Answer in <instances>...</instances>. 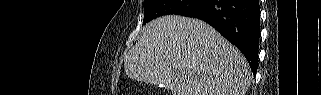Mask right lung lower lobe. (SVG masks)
<instances>
[{"mask_svg": "<svg viewBox=\"0 0 321 95\" xmlns=\"http://www.w3.org/2000/svg\"><path fill=\"white\" fill-rule=\"evenodd\" d=\"M204 20L245 55L253 74L257 71L260 36L258 0H207L186 16Z\"/></svg>", "mask_w": 321, "mask_h": 95, "instance_id": "1", "label": "right lung lower lobe"}]
</instances>
